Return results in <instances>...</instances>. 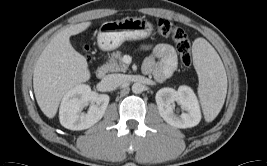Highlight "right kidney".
<instances>
[{
  "label": "right kidney",
  "mask_w": 267,
  "mask_h": 166,
  "mask_svg": "<svg viewBox=\"0 0 267 166\" xmlns=\"http://www.w3.org/2000/svg\"><path fill=\"white\" fill-rule=\"evenodd\" d=\"M88 103H90L88 112L81 113V109ZM108 103V95L98 94L86 84L77 85L62 99L59 110L60 123L70 130L87 129L103 117Z\"/></svg>",
  "instance_id": "obj_1"
}]
</instances>
